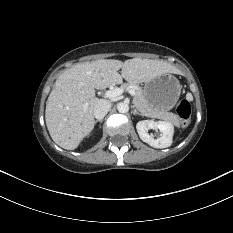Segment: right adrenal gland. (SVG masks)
I'll use <instances>...</instances> for the list:
<instances>
[{
    "label": "right adrenal gland",
    "instance_id": "obj_1",
    "mask_svg": "<svg viewBox=\"0 0 233 233\" xmlns=\"http://www.w3.org/2000/svg\"><path fill=\"white\" fill-rule=\"evenodd\" d=\"M102 121H103V120H96L95 123H97V122H102Z\"/></svg>",
    "mask_w": 233,
    "mask_h": 233
}]
</instances>
